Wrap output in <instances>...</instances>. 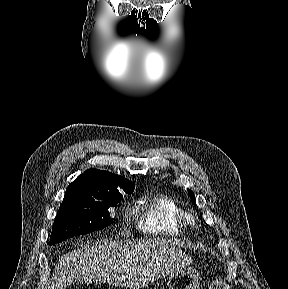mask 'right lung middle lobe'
<instances>
[{"label": "right lung middle lobe", "mask_w": 288, "mask_h": 289, "mask_svg": "<svg viewBox=\"0 0 288 289\" xmlns=\"http://www.w3.org/2000/svg\"><path fill=\"white\" fill-rule=\"evenodd\" d=\"M132 192L126 191L128 194ZM122 198L119 191H106L94 196L65 194L53 224L49 245L108 226L112 221L108 209Z\"/></svg>", "instance_id": "dd1d6c3e"}]
</instances>
